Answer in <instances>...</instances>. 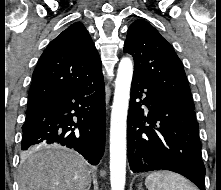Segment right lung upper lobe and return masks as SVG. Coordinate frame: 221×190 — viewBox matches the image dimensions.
I'll return each mask as SVG.
<instances>
[{"label":"right lung upper lobe","mask_w":221,"mask_h":190,"mask_svg":"<svg viewBox=\"0 0 221 190\" xmlns=\"http://www.w3.org/2000/svg\"><path fill=\"white\" fill-rule=\"evenodd\" d=\"M101 74V60L88 31L82 23H73L41 55L33 72L28 107Z\"/></svg>","instance_id":"obj_1"}]
</instances>
